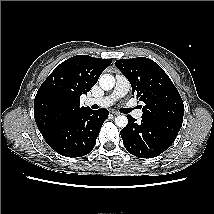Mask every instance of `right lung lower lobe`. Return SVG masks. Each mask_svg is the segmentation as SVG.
I'll return each mask as SVG.
<instances>
[{
	"mask_svg": "<svg viewBox=\"0 0 214 214\" xmlns=\"http://www.w3.org/2000/svg\"><path fill=\"white\" fill-rule=\"evenodd\" d=\"M107 109H88L62 122L43 138L65 157H81L94 147L101 126L108 117Z\"/></svg>",
	"mask_w": 214,
	"mask_h": 214,
	"instance_id": "1",
	"label": "right lung lower lobe"
}]
</instances>
